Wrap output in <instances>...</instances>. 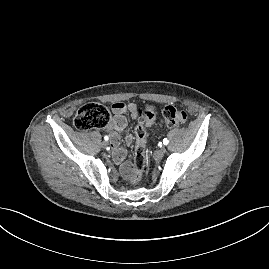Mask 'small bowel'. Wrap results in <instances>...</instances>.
Instances as JSON below:
<instances>
[{"mask_svg": "<svg viewBox=\"0 0 269 269\" xmlns=\"http://www.w3.org/2000/svg\"><path fill=\"white\" fill-rule=\"evenodd\" d=\"M113 119L108 127L111 138L112 155L114 161L120 165L122 175L126 179H131L134 173V167L125 162L126 149L120 146V133L126 128L127 120L126 114H130L132 118L136 119L139 115V109L134 103L125 104L123 102H116L112 105ZM134 137L131 134L125 136L127 145H131Z\"/></svg>", "mask_w": 269, "mask_h": 269, "instance_id": "1", "label": "small bowel"}]
</instances>
